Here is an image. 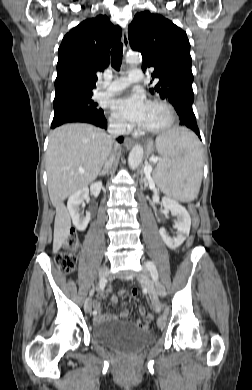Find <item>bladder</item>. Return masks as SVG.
Wrapping results in <instances>:
<instances>
[{
  "label": "bladder",
  "mask_w": 252,
  "mask_h": 390,
  "mask_svg": "<svg viewBox=\"0 0 252 390\" xmlns=\"http://www.w3.org/2000/svg\"><path fill=\"white\" fill-rule=\"evenodd\" d=\"M91 337L102 346L116 349L126 354L140 351L155 339L154 334L150 330L130 323L116 321L94 323Z\"/></svg>",
  "instance_id": "1"
}]
</instances>
